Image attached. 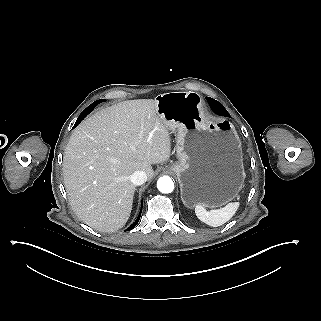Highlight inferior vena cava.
I'll return each instance as SVG.
<instances>
[{"instance_id": "1", "label": "inferior vena cava", "mask_w": 321, "mask_h": 321, "mask_svg": "<svg viewBox=\"0 0 321 321\" xmlns=\"http://www.w3.org/2000/svg\"><path fill=\"white\" fill-rule=\"evenodd\" d=\"M130 180L135 185H142L147 181V175L144 171L136 170L130 175Z\"/></svg>"}]
</instances>
